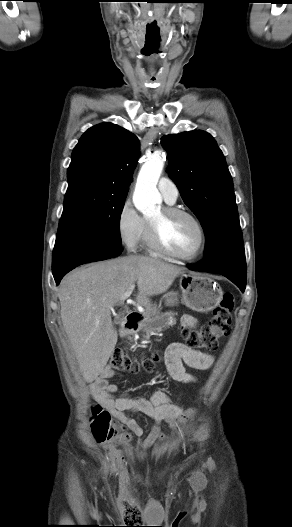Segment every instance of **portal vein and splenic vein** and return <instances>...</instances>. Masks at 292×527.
I'll use <instances>...</instances> for the list:
<instances>
[{
    "label": "portal vein and splenic vein",
    "mask_w": 292,
    "mask_h": 527,
    "mask_svg": "<svg viewBox=\"0 0 292 527\" xmlns=\"http://www.w3.org/2000/svg\"><path fill=\"white\" fill-rule=\"evenodd\" d=\"M134 288H135L134 284L130 285L129 289L120 298V303L124 302L126 299H128L130 297V295H131V293H132Z\"/></svg>",
    "instance_id": "obj_1"
}]
</instances>
